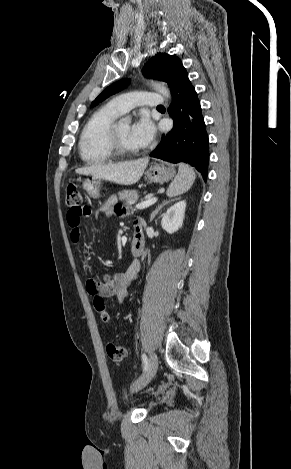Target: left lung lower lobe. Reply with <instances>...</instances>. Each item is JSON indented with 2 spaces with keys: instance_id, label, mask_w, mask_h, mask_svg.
I'll return each instance as SVG.
<instances>
[{
  "instance_id": "1",
  "label": "left lung lower lobe",
  "mask_w": 291,
  "mask_h": 469,
  "mask_svg": "<svg viewBox=\"0 0 291 469\" xmlns=\"http://www.w3.org/2000/svg\"><path fill=\"white\" fill-rule=\"evenodd\" d=\"M173 102L168 109L173 129L150 154L171 163L185 162L195 167L206 181L209 163V139L195 88L185 72L171 91Z\"/></svg>"
}]
</instances>
